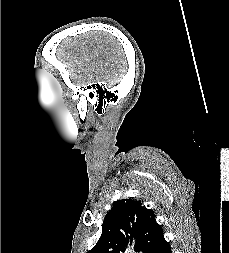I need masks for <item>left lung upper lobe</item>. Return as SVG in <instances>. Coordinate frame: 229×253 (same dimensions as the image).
<instances>
[{
    "label": "left lung upper lobe",
    "instance_id": "5c2ea615",
    "mask_svg": "<svg viewBox=\"0 0 229 253\" xmlns=\"http://www.w3.org/2000/svg\"><path fill=\"white\" fill-rule=\"evenodd\" d=\"M163 238L152 210L141 200L122 199L107 212L101 237L89 253H124L128 245L135 252L153 253Z\"/></svg>",
    "mask_w": 229,
    "mask_h": 253
}]
</instances>
